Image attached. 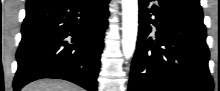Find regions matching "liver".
I'll use <instances>...</instances> for the list:
<instances>
[{
	"mask_svg": "<svg viewBox=\"0 0 220 91\" xmlns=\"http://www.w3.org/2000/svg\"><path fill=\"white\" fill-rule=\"evenodd\" d=\"M22 91H82L74 84L62 80H39L26 85Z\"/></svg>",
	"mask_w": 220,
	"mask_h": 91,
	"instance_id": "1",
	"label": "liver"
}]
</instances>
